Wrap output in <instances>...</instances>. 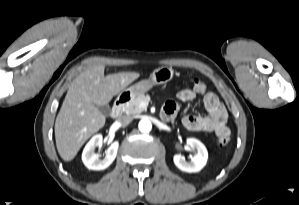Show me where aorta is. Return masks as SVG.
Masks as SVG:
<instances>
[{
    "mask_svg": "<svg viewBox=\"0 0 299 205\" xmlns=\"http://www.w3.org/2000/svg\"><path fill=\"white\" fill-rule=\"evenodd\" d=\"M138 127H139V130H140L141 132L147 133V132H150V131H151V129H152V124H151V122H150L149 120H147V119H143V120H141V121L139 122Z\"/></svg>",
    "mask_w": 299,
    "mask_h": 205,
    "instance_id": "1",
    "label": "aorta"
}]
</instances>
